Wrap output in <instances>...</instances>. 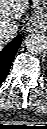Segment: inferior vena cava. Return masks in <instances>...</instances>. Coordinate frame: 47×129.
<instances>
[{
  "instance_id": "602c4592",
  "label": "inferior vena cava",
  "mask_w": 47,
  "mask_h": 129,
  "mask_svg": "<svg viewBox=\"0 0 47 129\" xmlns=\"http://www.w3.org/2000/svg\"><path fill=\"white\" fill-rule=\"evenodd\" d=\"M17 34V30L13 28L2 29L0 30V39L3 41L12 40Z\"/></svg>"
}]
</instances>
